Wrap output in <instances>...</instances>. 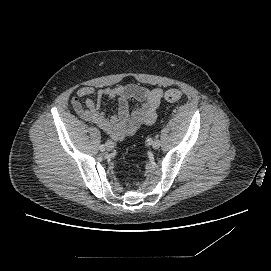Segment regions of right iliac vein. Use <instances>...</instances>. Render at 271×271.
<instances>
[{
    "mask_svg": "<svg viewBox=\"0 0 271 271\" xmlns=\"http://www.w3.org/2000/svg\"><path fill=\"white\" fill-rule=\"evenodd\" d=\"M113 148H114V143H113L112 141L108 140V141L106 142V149H107L108 151H111V150H113Z\"/></svg>",
    "mask_w": 271,
    "mask_h": 271,
    "instance_id": "63e3f726",
    "label": "right iliac vein"
}]
</instances>
